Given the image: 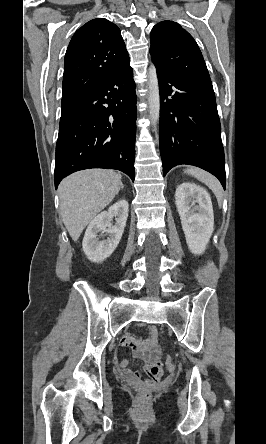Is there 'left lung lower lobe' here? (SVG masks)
I'll use <instances>...</instances> for the list:
<instances>
[{
    "label": "left lung lower lobe",
    "instance_id": "0a47b994",
    "mask_svg": "<svg viewBox=\"0 0 266 444\" xmlns=\"http://www.w3.org/2000/svg\"><path fill=\"white\" fill-rule=\"evenodd\" d=\"M155 66L160 93L159 143L164 176L176 165H194L215 175L225 189L221 125L211 80L179 77Z\"/></svg>",
    "mask_w": 266,
    "mask_h": 444
}]
</instances>
